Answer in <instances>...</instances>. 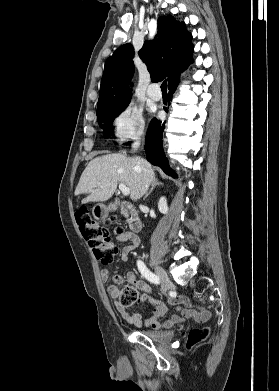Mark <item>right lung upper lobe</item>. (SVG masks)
<instances>
[{
    "label": "right lung upper lobe",
    "instance_id": "1",
    "mask_svg": "<svg viewBox=\"0 0 279 391\" xmlns=\"http://www.w3.org/2000/svg\"><path fill=\"white\" fill-rule=\"evenodd\" d=\"M192 35L184 22L173 16L158 18V32L153 40L146 41L139 51L147 65L152 81L167 77L168 88L179 80L180 72L193 62ZM133 46L125 44L114 51L105 62L101 80L97 113L109 108L129 104L131 90L128 81L134 72Z\"/></svg>",
    "mask_w": 279,
    "mask_h": 391
}]
</instances>
